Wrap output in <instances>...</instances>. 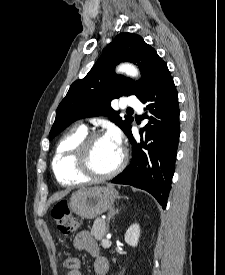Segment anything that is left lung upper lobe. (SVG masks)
Returning a JSON list of instances; mask_svg holds the SVG:
<instances>
[{
  "instance_id": "obj_1",
  "label": "left lung upper lobe",
  "mask_w": 225,
  "mask_h": 275,
  "mask_svg": "<svg viewBox=\"0 0 225 275\" xmlns=\"http://www.w3.org/2000/svg\"><path fill=\"white\" fill-rule=\"evenodd\" d=\"M123 61L139 66L143 74L140 81L114 73V67ZM167 69V64L141 36L120 33L105 48L85 78L72 83L57 108L49 139H53L75 120L99 115L108 116L126 133L131 128L133 118L125 116L123 120L112 109L111 101L133 94L140 100Z\"/></svg>"
}]
</instances>
